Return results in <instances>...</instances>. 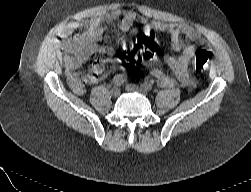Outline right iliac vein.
<instances>
[{
	"label": "right iliac vein",
	"instance_id": "1",
	"mask_svg": "<svg viewBox=\"0 0 251 192\" xmlns=\"http://www.w3.org/2000/svg\"><path fill=\"white\" fill-rule=\"evenodd\" d=\"M111 95L113 97H118L120 95V89L117 88V87H114L112 90H111Z\"/></svg>",
	"mask_w": 251,
	"mask_h": 192
}]
</instances>
